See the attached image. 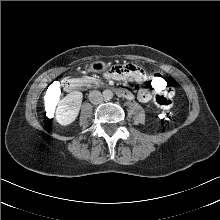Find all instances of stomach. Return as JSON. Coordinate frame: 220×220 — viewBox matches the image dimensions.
Here are the masks:
<instances>
[{
  "mask_svg": "<svg viewBox=\"0 0 220 220\" xmlns=\"http://www.w3.org/2000/svg\"><path fill=\"white\" fill-rule=\"evenodd\" d=\"M107 65L102 61H96L90 64L89 70L92 72H102L105 71Z\"/></svg>",
  "mask_w": 220,
  "mask_h": 220,
  "instance_id": "1",
  "label": "stomach"
}]
</instances>
